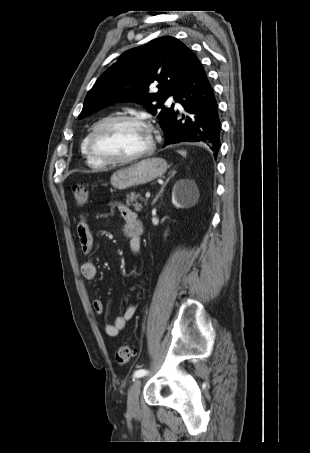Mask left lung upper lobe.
<instances>
[{"label":"left lung upper lobe","instance_id":"left-lung-upper-lobe-1","mask_svg":"<svg viewBox=\"0 0 310 453\" xmlns=\"http://www.w3.org/2000/svg\"><path fill=\"white\" fill-rule=\"evenodd\" d=\"M191 50L174 37L164 36L124 52L96 81L88 92L79 118L99 110L108 103L136 101L156 114L162 127L173 113L163 103L176 92L188 71ZM158 84L157 93H148ZM157 102V104H153Z\"/></svg>","mask_w":310,"mask_h":453}]
</instances>
